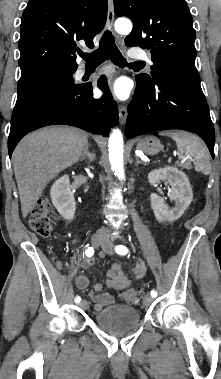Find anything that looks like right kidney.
<instances>
[{"label": "right kidney", "mask_w": 221, "mask_h": 379, "mask_svg": "<svg viewBox=\"0 0 221 379\" xmlns=\"http://www.w3.org/2000/svg\"><path fill=\"white\" fill-rule=\"evenodd\" d=\"M50 196L60 215L65 220H72L76 211V203L68 175H63L54 182L50 190Z\"/></svg>", "instance_id": "ca27d5eb"}]
</instances>
